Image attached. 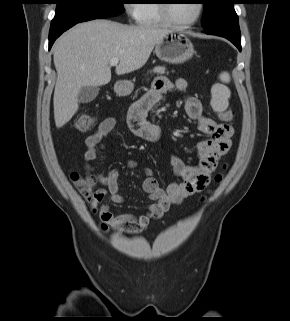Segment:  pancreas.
Listing matches in <instances>:
<instances>
[{
  "label": "pancreas",
  "mask_w": 290,
  "mask_h": 321,
  "mask_svg": "<svg viewBox=\"0 0 290 321\" xmlns=\"http://www.w3.org/2000/svg\"><path fill=\"white\" fill-rule=\"evenodd\" d=\"M165 70H166L165 67H156L153 69V72L158 74H163L165 73Z\"/></svg>",
  "instance_id": "cf45deb5"
}]
</instances>
